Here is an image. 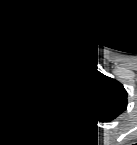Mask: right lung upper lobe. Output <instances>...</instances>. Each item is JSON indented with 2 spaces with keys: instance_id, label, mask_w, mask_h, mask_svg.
I'll list each match as a JSON object with an SVG mask.
<instances>
[{
  "instance_id": "obj_1",
  "label": "right lung upper lobe",
  "mask_w": 137,
  "mask_h": 145,
  "mask_svg": "<svg viewBox=\"0 0 137 145\" xmlns=\"http://www.w3.org/2000/svg\"><path fill=\"white\" fill-rule=\"evenodd\" d=\"M46 74H36L19 93L15 100L18 114L23 118H38L47 113L60 93Z\"/></svg>"
}]
</instances>
